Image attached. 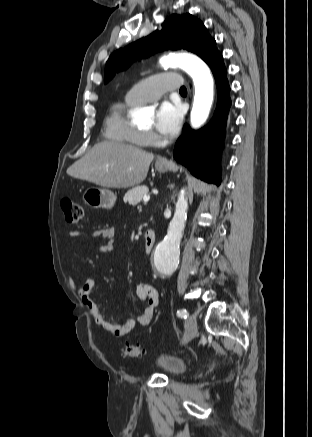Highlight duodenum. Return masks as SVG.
Wrapping results in <instances>:
<instances>
[{"mask_svg":"<svg viewBox=\"0 0 312 437\" xmlns=\"http://www.w3.org/2000/svg\"><path fill=\"white\" fill-rule=\"evenodd\" d=\"M156 241V234L154 229L148 228L145 232L144 252L150 253Z\"/></svg>","mask_w":312,"mask_h":437,"instance_id":"1","label":"duodenum"}]
</instances>
